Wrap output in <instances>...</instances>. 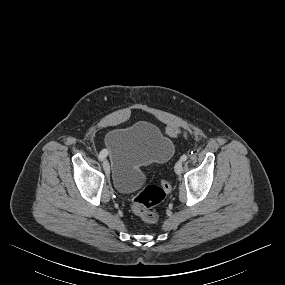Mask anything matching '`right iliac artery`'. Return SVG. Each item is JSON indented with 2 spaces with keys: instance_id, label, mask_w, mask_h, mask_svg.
I'll return each mask as SVG.
<instances>
[{
  "instance_id": "1",
  "label": "right iliac artery",
  "mask_w": 285,
  "mask_h": 285,
  "mask_svg": "<svg viewBox=\"0 0 285 285\" xmlns=\"http://www.w3.org/2000/svg\"><path fill=\"white\" fill-rule=\"evenodd\" d=\"M106 155H107V152L105 150H102L98 155L99 160H101V161L104 160Z\"/></svg>"
}]
</instances>
